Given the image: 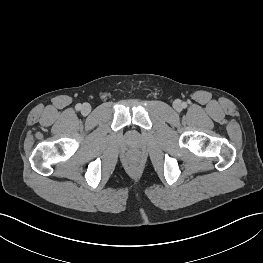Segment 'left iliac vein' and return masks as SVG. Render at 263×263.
I'll use <instances>...</instances> for the list:
<instances>
[{
    "label": "left iliac vein",
    "instance_id": "left-iliac-vein-1",
    "mask_svg": "<svg viewBox=\"0 0 263 263\" xmlns=\"http://www.w3.org/2000/svg\"><path fill=\"white\" fill-rule=\"evenodd\" d=\"M173 107L176 111H181L182 103L180 102V100H175L173 103Z\"/></svg>",
    "mask_w": 263,
    "mask_h": 263
}]
</instances>
